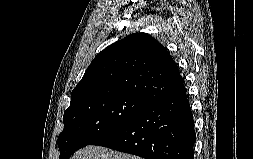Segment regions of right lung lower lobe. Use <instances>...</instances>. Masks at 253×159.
<instances>
[{
    "label": "right lung lower lobe",
    "instance_id": "obj_1",
    "mask_svg": "<svg viewBox=\"0 0 253 159\" xmlns=\"http://www.w3.org/2000/svg\"><path fill=\"white\" fill-rule=\"evenodd\" d=\"M196 140L185 88L154 101L92 145L146 159H193Z\"/></svg>",
    "mask_w": 253,
    "mask_h": 159
}]
</instances>
